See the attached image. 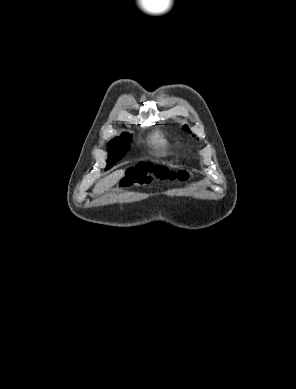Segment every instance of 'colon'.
Listing matches in <instances>:
<instances>
[{
	"label": "colon",
	"instance_id": "colon-1",
	"mask_svg": "<svg viewBox=\"0 0 296 389\" xmlns=\"http://www.w3.org/2000/svg\"><path fill=\"white\" fill-rule=\"evenodd\" d=\"M154 178L161 180H180L184 181L187 178L185 172L170 171L168 168L154 165L152 163H139L131 167L124 180L123 186L130 187L133 185H146L152 182Z\"/></svg>",
	"mask_w": 296,
	"mask_h": 389
}]
</instances>
